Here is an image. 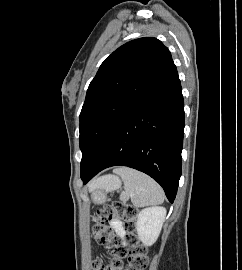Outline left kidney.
Returning <instances> with one entry per match:
<instances>
[{
  "instance_id": "left-kidney-1",
  "label": "left kidney",
  "mask_w": 242,
  "mask_h": 270,
  "mask_svg": "<svg viewBox=\"0 0 242 270\" xmlns=\"http://www.w3.org/2000/svg\"><path fill=\"white\" fill-rule=\"evenodd\" d=\"M166 209L164 207L144 208L138 214L136 230L140 241L146 245H153L162 229L165 221Z\"/></svg>"
}]
</instances>
